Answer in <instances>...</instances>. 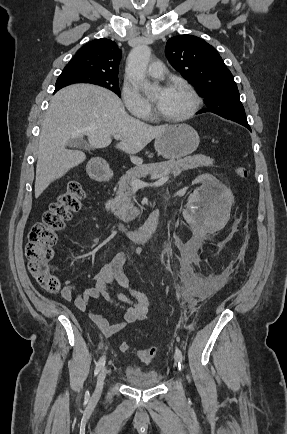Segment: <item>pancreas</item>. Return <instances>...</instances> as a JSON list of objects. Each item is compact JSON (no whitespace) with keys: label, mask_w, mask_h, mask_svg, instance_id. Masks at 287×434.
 <instances>
[{"label":"pancreas","mask_w":287,"mask_h":434,"mask_svg":"<svg viewBox=\"0 0 287 434\" xmlns=\"http://www.w3.org/2000/svg\"><path fill=\"white\" fill-rule=\"evenodd\" d=\"M214 164V160L205 155H194L177 160L163 161L159 163H149L138 165L126 172L118 182L116 197L111 201V209L115 216L124 222L134 220L139 214V210L132 201V181L146 176L157 177L165 172L178 176L181 172L199 167H209ZM134 201H136L134 199Z\"/></svg>","instance_id":"1"}]
</instances>
